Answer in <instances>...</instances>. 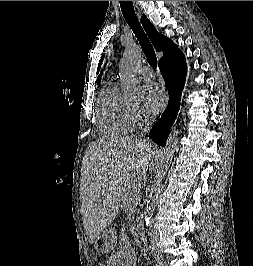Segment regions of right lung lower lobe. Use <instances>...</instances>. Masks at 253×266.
I'll use <instances>...</instances> for the list:
<instances>
[{"mask_svg": "<svg viewBox=\"0 0 253 266\" xmlns=\"http://www.w3.org/2000/svg\"><path fill=\"white\" fill-rule=\"evenodd\" d=\"M159 68L165 80V86L168 89L169 102L161 118L153 125L149 135L154 142L165 146L170 129L179 111L181 93L187 73L183 53L179 51L170 59L159 62Z\"/></svg>", "mask_w": 253, "mask_h": 266, "instance_id": "right-lung-lower-lobe-1", "label": "right lung lower lobe"}]
</instances>
